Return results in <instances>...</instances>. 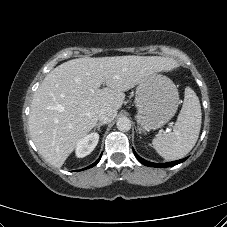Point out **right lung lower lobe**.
Listing matches in <instances>:
<instances>
[{
  "mask_svg": "<svg viewBox=\"0 0 227 227\" xmlns=\"http://www.w3.org/2000/svg\"><path fill=\"white\" fill-rule=\"evenodd\" d=\"M100 158H101V156L99 157V159L96 162H94L92 165L88 166L85 169H88V168H91V167L95 166L100 161Z\"/></svg>",
  "mask_w": 227,
  "mask_h": 227,
  "instance_id": "98d812e1",
  "label": "right lung lower lobe"
}]
</instances>
